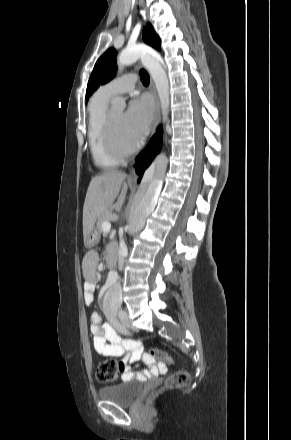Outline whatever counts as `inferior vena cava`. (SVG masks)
I'll list each match as a JSON object with an SVG mask.
<instances>
[{
	"mask_svg": "<svg viewBox=\"0 0 291 440\" xmlns=\"http://www.w3.org/2000/svg\"><path fill=\"white\" fill-rule=\"evenodd\" d=\"M125 250H126V245L124 244L123 241H120V254H119V258H118V267L120 270L122 269L123 263H124L122 252Z\"/></svg>",
	"mask_w": 291,
	"mask_h": 440,
	"instance_id": "602c4592",
	"label": "inferior vena cava"
}]
</instances>
